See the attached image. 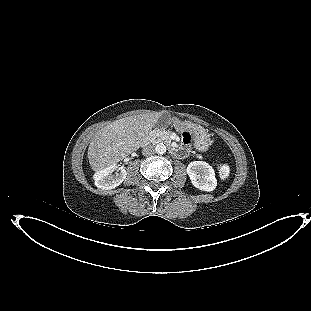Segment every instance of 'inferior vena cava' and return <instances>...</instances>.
<instances>
[{"label": "inferior vena cava", "mask_w": 311, "mask_h": 311, "mask_svg": "<svg viewBox=\"0 0 311 311\" xmlns=\"http://www.w3.org/2000/svg\"><path fill=\"white\" fill-rule=\"evenodd\" d=\"M154 153H155V149H154V147L152 145H148V146L144 147L143 150H142V154L144 156H151Z\"/></svg>", "instance_id": "inferior-vena-cava-1"}]
</instances>
